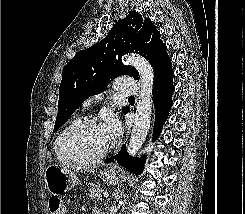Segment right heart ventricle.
Returning <instances> with one entry per match:
<instances>
[{"label": "right heart ventricle", "instance_id": "obj_1", "mask_svg": "<svg viewBox=\"0 0 245 214\" xmlns=\"http://www.w3.org/2000/svg\"><path fill=\"white\" fill-rule=\"evenodd\" d=\"M80 119L79 116H73L72 118H70L67 123L64 125V127L61 129V131L58 133V135L56 136L54 142H53V152L57 158V160L64 164V165H71L73 164L71 161L67 160L61 153L60 151V142L61 139L63 137V135L66 133V131L73 126L76 122H78Z\"/></svg>", "mask_w": 245, "mask_h": 214}]
</instances>
